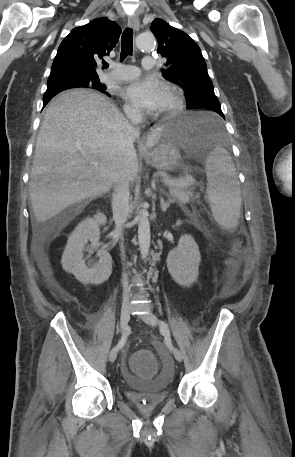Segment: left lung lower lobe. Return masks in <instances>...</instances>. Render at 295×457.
<instances>
[{"label": "left lung lower lobe", "instance_id": "obj_1", "mask_svg": "<svg viewBox=\"0 0 295 457\" xmlns=\"http://www.w3.org/2000/svg\"><path fill=\"white\" fill-rule=\"evenodd\" d=\"M190 109L192 108H206V109H210L216 113H218L219 115H221L223 118H224V115L221 111V106H220V103L219 101H214V100H201V101H198L194 104L193 107H189ZM207 128L209 130V132L211 133H214L215 132V127L212 123H207Z\"/></svg>", "mask_w": 295, "mask_h": 457}]
</instances>
